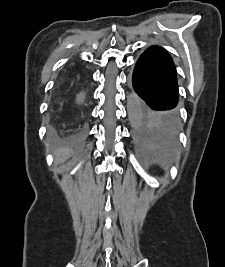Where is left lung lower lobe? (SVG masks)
Masks as SVG:
<instances>
[{
    "instance_id": "obj_1",
    "label": "left lung lower lobe",
    "mask_w": 225,
    "mask_h": 267,
    "mask_svg": "<svg viewBox=\"0 0 225 267\" xmlns=\"http://www.w3.org/2000/svg\"><path fill=\"white\" fill-rule=\"evenodd\" d=\"M132 86L153 119L178 131L177 72L165 49L153 45L142 53L133 70Z\"/></svg>"
}]
</instances>
